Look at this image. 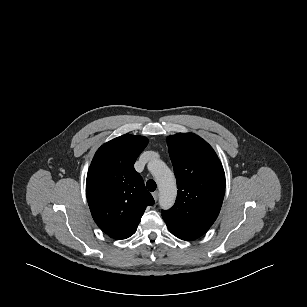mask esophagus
Instances as JSON below:
<instances>
[{"instance_id": "obj_1", "label": "esophagus", "mask_w": 307, "mask_h": 307, "mask_svg": "<svg viewBox=\"0 0 307 307\" xmlns=\"http://www.w3.org/2000/svg\"><path fill=\"white\" fill-rule=\"evenodd\" d=\"M152 196H153L154 200L157 201V200H158L159 193H158L157 191H156V192H153V193H152Z\"/></svg>"}]
</instances>
